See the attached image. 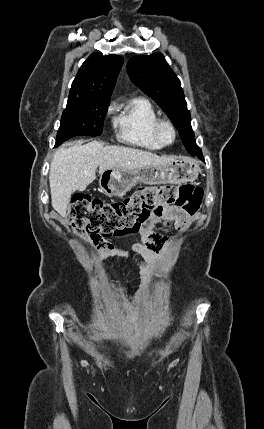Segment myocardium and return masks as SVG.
I'll use <instances>...</instances> for the list:
<instances>
[{
  "mask_svg": "<svg viewBox=\"0 0 264 429\" xmlns=\"http://www.w3.org/2000/svg\"><path fill=\"white\" fill-rule=\"evenodd\" d=\"M165 127H168L171 130L172 139L170 141L165 140L163 135H162V131ZM153 133H154L155 138L162 145H171L172 143H174L176 136H177V131H176V127H175L174 123L171 120L164 119V118H159L155 122V124L153 126Z\"/></svg>",
  "mask_w": 264,
  "mask_h": 429,
  "instance_id": "f54148a6",
  "label": "myocardium"
}]
</instances>
